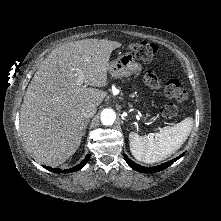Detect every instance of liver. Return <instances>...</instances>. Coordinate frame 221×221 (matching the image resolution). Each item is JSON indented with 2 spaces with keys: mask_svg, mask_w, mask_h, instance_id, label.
Masks as SVG:
<instances>
[{
  "mask_svg": "<svg viewBox=\"0 0 221 221\" xmlns=\"http://www.w3.org/2000/svg\"><path fill=\"white\" fill-rule=\"evenodd\" d=\"M122 44L106 39H84L56 47L42 62L26 90L21 105L20 128L32 156L42 164L58 166L81 144L82 108L101 104L105 91L76 83L105 87L111 53Z\"/></svg>",
  "mask_w": 221,
  "mask_h": 221,
  "instance_id": "1",
  "label": "liver"
}]
</instances>
